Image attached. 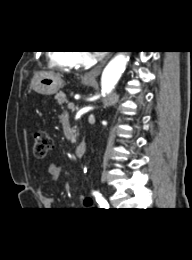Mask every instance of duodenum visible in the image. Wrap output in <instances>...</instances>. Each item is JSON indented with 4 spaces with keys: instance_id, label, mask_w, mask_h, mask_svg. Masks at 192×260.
Segmentation results:
<instances>
[{
    "instance_id": "410a0bca",
    "label": "duodenum",
    "mask_w": 192,
    "mask_h": 260,
    "mask_svg": "<svg viewBox=\"0 0 192 260\" xmlns=\"http://www.w3.org/2000/svg\"><path fill=\"white\" fill-rule=\"evenodd\" d=\"M87 150V144L86 142H81L77 145V147L75 148V156L77 158H81L85 155Z\"/></svg>"
}]
</instances>
